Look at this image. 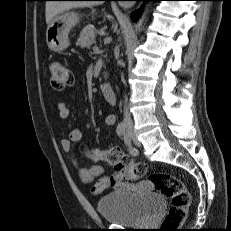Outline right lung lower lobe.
<instances>
[{
    "label": "right lung lower lobe",
    "mask_w": 231,
    "mask_h": 231,
    "mask_svg": "<svg viewBox=\"0 0 231 231\" xmlns=\"http://www.w3.org/2000/svg\"><path fill=\"white\" fill-rule=\"evenodd\" d=\"M141 1H151V0H141ZM138 14H139V11H136L131 15L134 21L137 19Z\"/></svg>",
    "instance_id": "right-lung-lower-lobe-1"
}]
</instances>
